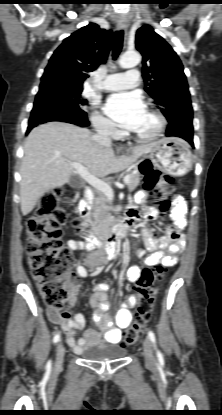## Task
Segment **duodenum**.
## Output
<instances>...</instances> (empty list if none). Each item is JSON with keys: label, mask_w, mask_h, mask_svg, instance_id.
<instances>
[{"label": "duodenum", "mask_w": 222, "mask_h": 415, "mask_svg": "<svg viewBox=\"0 0 222 415\" xmlns=\"http://www.w3.org/2000/svg\"><path fill=\"white\" fill-rule=\"evenodd\" d=\"M92 202V191L90 188L84 189V197L78 205V210L83 217L90 214ZM133 220L125 217L122 220L115 221L109 226H94V236L89 241V248H95L99 243H103L110 256L117 251L118 242L125 238L132 228Z\"/></svg>", "instance_id": "1"}]
</instances>
